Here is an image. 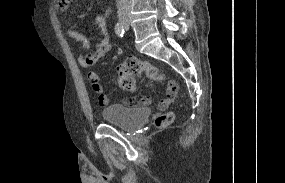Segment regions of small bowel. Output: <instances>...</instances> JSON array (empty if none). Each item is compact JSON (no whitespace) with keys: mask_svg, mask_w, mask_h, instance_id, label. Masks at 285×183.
<instances>
[{"mask_svg":"<svg viewBox=\"0 0 285 183\" xmlns=\"http://www.w3.org/2000/svg\"><path fill=\"white\" fill-rule=\"evenodd\" d=\"M71 0H64L60 6V11L65 12L68 9L69 3ZM109 14V10H107L106 15ZM96 28L101 29L104 37L98 42L91 44L88 38L74 30L67 29L66 34L70 38L79 42L82 45V52L78 57L79 64L86 69L93 68L96 63L105 56L107 52H109L112 48V43L109 38V34L105 28L104 18H100L96 22ZM88 80L90 82L92 90L98 96V102L101 106H106L109 103V98L107 96L106 90L103 86V80L105 79V75L90 71L87 75ZM178 89V84L175 81H169L165 87V97L160 101V108H167L175 99L176 93ZM127 104H131V99H127L125 101ZM140 104V103H138Z\"/></svg>","mask_w":285,"mask_h":183,"instance_id":"1","label":"small bowel"}]
</instances>
